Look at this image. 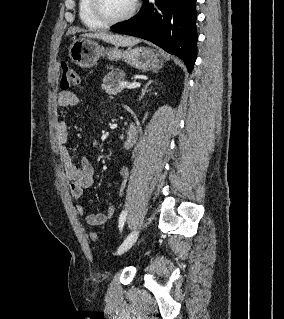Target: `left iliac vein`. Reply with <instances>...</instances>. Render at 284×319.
Instances as JSON below:
<instances>
[{"label":"left iliac vein","mask_w":284,"mask_h":319,"mask_svg":"<svg viewBox=\"0 0 284 319\" xmlns=\"http://www.w3.org/2000/svg\"><path fill=\"white\" fill-rule=\"evenodd\" d=\"M139 236V231L134 230L132 231L122 242V244L119 246L117 250V254H122L126 251H128L137 241Z\"/></svg>","instance_id":"1"}]
</instances>
